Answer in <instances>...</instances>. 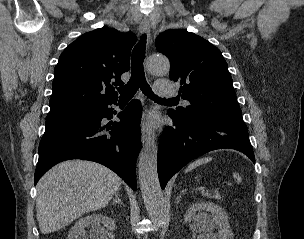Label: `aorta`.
<instances>
[{"instance_id": "obj_1", "label": "aorta", "mask_w": 304, "mask_h": 239, "mask_svg": "<svg viewBox=\"0 0 304 239\" xmlns=\"http://www.w3.org/2000/svg\"><path fill=\"white\" fill-rule=\"evenodd\" d=\"M147 68L149 73L163 76L169 73L170 62L162 55L150 56L147 60ZM157 151L154 138L145 143L139 155L138 176L147 212L154 223L162 226L166 211L157 173Z\"/></svg>"}]
</instances>
